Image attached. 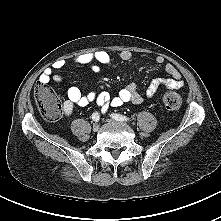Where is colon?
<instances>
[{
    "mask_svg": "<svg viewBox=\"0 0 221 221\" xmlns=\"http://www.w3.org/2000/svg\"><path fill=\"white\" fill-rule=\"evenodd\" d=\"M34 99L43 117L56 121L63 114V106L54 91L47 83L38 82L34 88ZM164 106L168 110H178L182 105V98L173 91H167L162 97Z\"/></svg>",
    "mask_w": 221,
    "mask_h": 221,
    "instance_id": "1",
    "label": "colon"
}]
</instances>
